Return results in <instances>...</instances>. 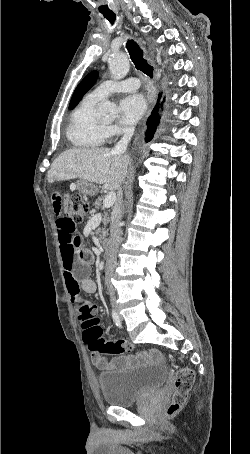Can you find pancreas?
<instances>
[{"label":"pancreas","instance_id":"cf45deb5","mask_svg":"<svg viewBox=\"0 0 250 454\" xmlns=\"http://www.w3.org/2000/svg\"><path fill=\"white\" fill-rule=\"evenodd\" d=\"M102 200H103V198H102V197H99V198L95 201L94 205H95V208H96V209H103V207H102ZM102 222H103V226H104V227L102 228V230H99V232H100V239H103V238H105V237L108 235L107 225H108V223H109V216H108V214H107L106 212H104V216H103Z\"/></svg>","mask_w":250,"mask_h":454}]
</instances>
